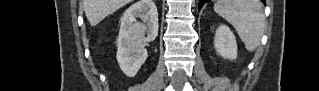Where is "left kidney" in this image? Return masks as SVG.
<instances>
[{
    "instance_id": "left-kidney-1",
    "label": "left kidney",
    "mask_w": 319,
    "mask_h": 91,
    "mask_svg": "<svg viewBox=\"0 0 319 91\" xmlns=\"http://www.w3.org/2000/svg\"><path fill=\"white\" fill-rule=\"evenodd\" d=\"M214 47L224 59L237 58V43L234 34L226 25H220L215 32Z\"/></svg>"
}]
</instances>
